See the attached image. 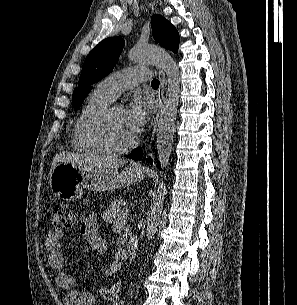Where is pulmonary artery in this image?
<instances>
[{"instance_id": "1", "label": "pulmonary artery", "mask_w": 297, "mask_h": 305, "mask_svg": "<svg viewBox=\"0 0 297 305\" xmlns=\"http://www.w3.org/2000/svg\"><path fill=\"white\" fill-rule=\"evenodd\" d=\"M150 77L151 73L147 69L126 68L104 78L97 88L102 94L113 101L122 92L148 81Z\"/></svg>"}]
</instances>
